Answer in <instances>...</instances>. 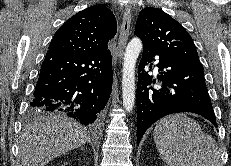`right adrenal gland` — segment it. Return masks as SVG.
Here are the masks:
<instances>
[{"mask_svg": "<svg viewBox=\"0 0 231 166\" xmlns=\"http://www.w3.org/2000/svg\"><path fill=\"white\" fill-rule=\"evenodd\" d=\"M81 149H82V150H85V148H84V147H81Z\"/></svg>", "mask_w": 231, "mask_h": 166, "instance_id": "2a0ac1e0", "label": "right adrenal gland"}]
</instances>
